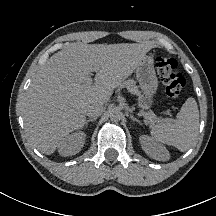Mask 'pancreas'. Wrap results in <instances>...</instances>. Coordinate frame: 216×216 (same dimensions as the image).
<instances>
[{
  "label": "pancreas",
  "mask_w": 216,
  "mask_h": 216,
  "mask_svg": "<svg viewBox=\"0 0 216 216\" xmlns=\"http://www.w3.org/2000/svg\"><path fill=\"white\" fill-rule=\"evenodd\" d=\"M121 87H125L132 94H139L138 87L132 79L126 80L121 83ZM143 116L147 124H154L158 118L153 112H144Z\"/></svg>",
  "instance_id": "cf45deb5"
}]
</instances>
